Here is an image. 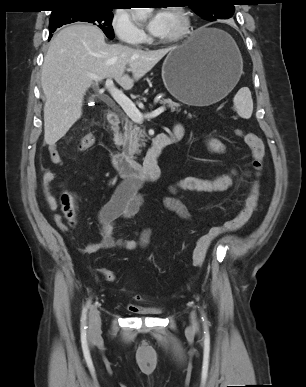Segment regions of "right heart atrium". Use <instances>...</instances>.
I'll return each mask as SVG.
<instances>
[{
	"label": "right heart atrium",
	"mask_w": 306,
	"mask_h": 387,
	"mask_svg": "<svg viewBox=\"0 0 306 387\" xmlns=\"http://www.w3.org/2000/svg\"><path fill=\"white\" fill-rule=\"evenodd\" d=\"M111 26L119 41L129 45H139L146 39V34L133 20L131 14L123 9L114 12Z\"/></svg>",
	"instance_id": "right-heart-atrium-1"
}]
</instances>
